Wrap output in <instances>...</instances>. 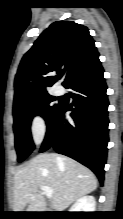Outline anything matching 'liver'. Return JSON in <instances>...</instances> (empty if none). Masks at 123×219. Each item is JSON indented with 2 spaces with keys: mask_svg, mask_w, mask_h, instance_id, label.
Returning <instances> with one entry per match:
<instances>
[{
  "mask_svg": "<svg viewBox=\"0 0 123 219\" xmlns=\"http://www.w3.org/2000/svg\"><path fill=\"white\" fill-rule=\"evenodd\" d=\"M91 170L77 161L55 153L32 158L14 177V212H44L46 202L41 186L53 190L52 208L64 210L97 188Z\"/></svg>",
  "mask_w": 123,
  "mask_h": 219,
  "instance_id": "1",
  "label": "liver"
}]
</instances>
